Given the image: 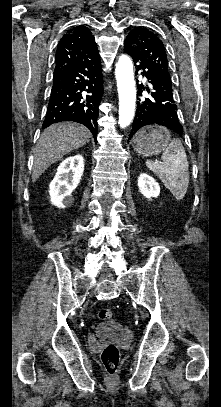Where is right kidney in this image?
Here are the masks:
<instances>
[{"label": "right kidney", "mask_w": 221, "mask_h": 407, "mask_svg": "<svg viewBox=\"0 0 221 407\" xmlns=\"http://www.w3.org/2000/svg\"><path fill=\"white\" fill-rule=\"evenodd\" d=\"M84 171V159L77 154L63 160L49 185L51 203L65 208L73 203L71 193L78 186Z\"/></svg>", "instance_id": "ca27d5eb"}]
</instances>
